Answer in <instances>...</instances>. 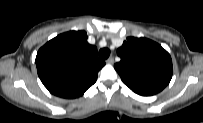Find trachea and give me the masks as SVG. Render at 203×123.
<instances>
[{
	"instance_id": "3493384b",
	"label": "trachea",
	"mask_w": 203,
	"mask_h": 123,
	"mask_svg": "<svg viewBox=\"0 0 203 123\" xmlns=\"http://www.w3.org/2000/svg\"><path fill=\"white\" fill-rule=\"evenodd\" d=\"M110 55V50L108 48H103L99 51V57L103 60L107 59Z\"/></svg>"
}]
</instances>
